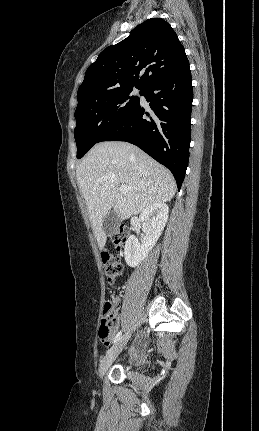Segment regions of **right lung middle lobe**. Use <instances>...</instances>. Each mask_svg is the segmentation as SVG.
Listing matches in <instances>:
<instances>
[{
  "instance_id": "obj_1",
  "label": "right lung middle lobe",
  "mask_w": 259,
  "mask_h": 431,
  "mask_svg": "<svg viewBox=\"0 0 259 431\" xmlns=\"http://www.w3.org/2000/svg\"><path fill=\"white\" fill-rule=\"evenodd\" d=\"M132 90L133 87L116 89L90 96L78 104L75 111L77 126L74 130L77 158H82L138 105L140 98L132 95ZM143 92L144 89H140L141 95Z\"/></svg>"
}]
</instances>
